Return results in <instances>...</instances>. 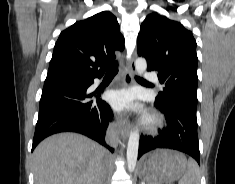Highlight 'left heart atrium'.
<instances>
[{
  "label": "left heart atrium",
  "instance_id": "39dd6f15",
  "mask_svg": "<svg viewBox=\"0 0 235 184\" xmlns=\"http://www.w3.org/2000/svg\"><path fill=\"white\" fill-rule=\"evenodd\" d=\"M109 102L118 110L134 109L133 96L125 91H115L109 95Z\"/></svg>",
  "mask_w": 235,
  "mask_h": 184
}]
</instances>
